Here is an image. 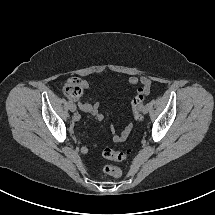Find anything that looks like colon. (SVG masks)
<instances>
[{
	"label": "colon",
	"mask_w": 215,
	"mask_h": 215,
	"mask_svg": "<svg viewBox=\"0 0 215 215\" xmlns=\"http://www.w3.org/2000/svg\"><path fill=\"white\" fill-rule=\"evenodd\" d=\"M63 91L65 95L71 99H77L83 92V82L77 78H69L63 86ZM149 93V88L147 86H142L137 90L135 97L132 99L131 105L133 114L136 120H141V107L145 100V97ZM102 155L105 159L113 161H123L126 159L128 152L125 151H116L111 148H105L102 152ZM104 173L111 177L118 178L122 175V170L116 166L105 165L103 168Z\"/></svg>",
	"instance_id": "obj_1"
}]
</instances>
